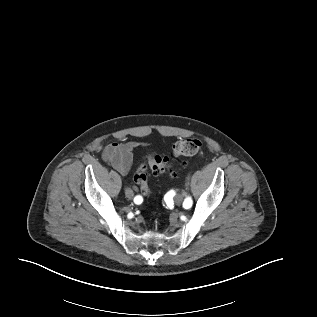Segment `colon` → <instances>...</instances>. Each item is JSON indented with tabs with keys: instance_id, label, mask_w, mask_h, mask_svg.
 I'll list each match as a JSON object with an SVG mask.
<instances>
[{
	"instance_id": "1",
	"label": "colon",
	"mask_w": 317,
	"mask_h": 317,
	"mask_svg": "<svg viewBox=\"0 0 317 317\" xmlns=\"http://www.w3.org/2000/svg\"><path fill=\"white\" fill-rule=\"evenodd\" d=\"M200 146V140L188 138L177 141L173 145L169 157L148 153L145 156L144 162L136 170L134 181L139 185L144 194H150L151 191L148 186V168L157 175L165 172L173 174L174 166L171 163V160L180 161L184 156L194 155L199 151Z\"/></svg>"
}]
</instances>
